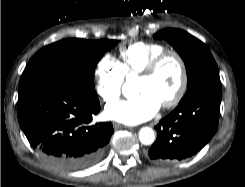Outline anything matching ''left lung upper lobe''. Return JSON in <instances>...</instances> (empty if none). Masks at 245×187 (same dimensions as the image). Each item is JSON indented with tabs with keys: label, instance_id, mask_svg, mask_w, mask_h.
I'll return each instance as SVG.
<instances>
[{
	"label": "left lung upper lobe",
	"instance_id": "5c2ea615",
	"mask_svg": "<svg viewBox=\"0 0 245 187\" xmlns=\"http://www.w3.org/2000/svg\"><path fill=\"white\" fill-rule=\"evenodd\" d=\"M154 38L167 40L184 60L187 71L186 98L192 93L215 84H220L217 64L204 43L179 29H164Z\"/></svg>",
	"mask_w": 245,
	"mask_h": 187
}]
</instances>
